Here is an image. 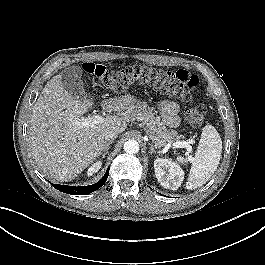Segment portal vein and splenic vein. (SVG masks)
<instances>
[{
    "label": "portal vein and splenic vein",
    "instance_id": "obj_1",
    "mask_svg": "<svg viewBox=\"0 0 265 265\" xmlns=\"http://www.w3.org/2000/svg\"><path fill=\"white\" fill-rule=\"evenodd\" d=\"M101 122H103V117L98 115V114L93 115L91 117L76 119L74 121V123L76 125L81 126V127H88V126H92L94 124H99ZM172 146H173V148H186L187 151H189V152L192 150L190 142H188V141H177Z\"/></svg>",
    "mask_w": 265,
    "mask_h": 265
}]
</instances>
